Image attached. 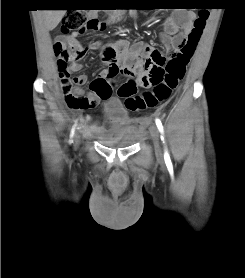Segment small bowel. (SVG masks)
<instances>
[{
  "label": "small bowel",
  "mask_w": 245,
  "mask_h": 278,
  "mask_svg": "<svg viewBox=\"0 0 245 278\" xmlns=\"http://www.w3.org/2000/svg\"><path fill=\"white\" fill-rule=\"evenodd\" d=\"M193 18V13H187L167 17L165 19L162 31L159 34V40L164 45L165 51L169 57L180 52L181 45L186 41L188 34L193 29ZM105 26L104 23H100L97 30L103 31L105 30ZM81 33L82 32H75L70 36L61 37L60 39L68 44L78 45L77 36ZM88 47L91 50L102 49L103 61L108 65L107 70L102 72L92 84L94 85L93 91L96 98V106L99 105L102 100L110 96L111 77L118 75L120 72L123 74H132L142 67L144 70H148L154 64L156 55L161 54L160 51L151 44L136 43L133 47H129L126 41H119L107 45L101 41H93ZM80 70L81 64L78 61L74 60L68 66L69 73H76ZM78 78L83 82L86 81L84 75H80ZM68 83L69 81L62 80L63 88H65ZM89 128L95 136H99L101 125L92 124Z\"/></svg>",
  "instance_id": "small-bowel-1"
}]
</instances>
